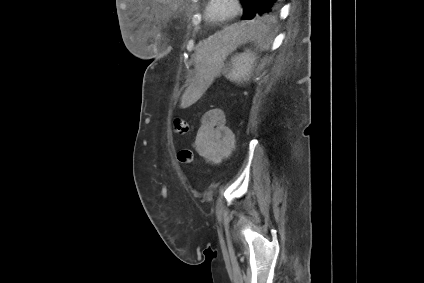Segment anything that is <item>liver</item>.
Returning <instances> with one entry per match:
<instances>
[{
	"label": "liver",
	"mask_w": 424,
	"mask_h": 283,
	"mask_svg": "<svg viewBox=\"0 0 424 283\" xmlns=\"http://www.w3.org/2000/svg\"><path fill=\"white\" fill-rule=\"evenodd\" d=\"M249 30L250 28L245 29L242 25H233L198 44L195 54L197 80L182 95L181 108L190 106L200 97L199 87L203 86L205 81L213 78L214 70L220 65L222 58L236 48L238 42ZM221 46L222 48H220Z\"/></svg>",
	"instance_id": "1"
}]
</instances>
